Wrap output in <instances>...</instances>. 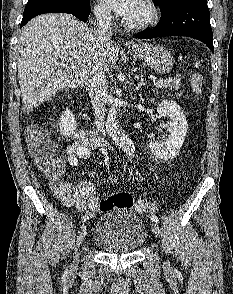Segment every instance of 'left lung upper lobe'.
<instances>
[{"instance_id":"1","label":"left lung upper lobe","mask_w":233,"mask_h":294,"mask_svg":"<svg viewBox=\"0 0 233 294\" xmlns=\"http://www.w3.org/2000/svg\"><path fill=\"white\" fill-rule=\"evenodd\" d=\"M173 1L175 0H153V2L157 4L160 9L165 8L168 4H170Z\"/></svg>"}]
</instances>
